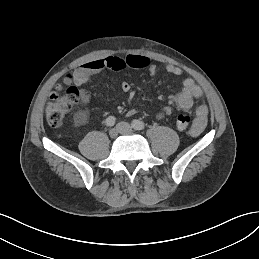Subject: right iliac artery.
Segmentation results:
<instances>
[{
    "label": "right iliac artery",
    "mask_w": 259,
    "mask_h": 259,
    "mask_svg": "<svg viewBox=\"0 0 259 259\" xmlns=\"http://www.w3.org/2000/svg\"><path fill=\"white\" fill-rule=\"evenodd\" d=\"M115 124V117L114 116H109L106 119V125L111 127Z\"/></svg>",
    "instance_id": "obj_1"
}]
</instances>
